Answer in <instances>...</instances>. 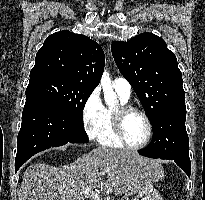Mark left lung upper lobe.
I'll list each match as a JSON object with an SVG mask.
<instances>
[{
	"label": "left lung upper lobe",
	"mask_w": 205,
	"mask_h": 200,
	"mask_svg": "<svg viewBox=\"0 0 205 200\" xmlns=\"http://www.w3.org/2000/svg\"><path fill=\"white\" fill-rule=\"evenodd\" d=\"M111 51L152 125L167 107L185 102L176 56L162 38L145 32L127 42H113Z\"/></svg>",
	"instance_id": "1"
}]
</instances>
